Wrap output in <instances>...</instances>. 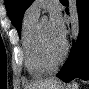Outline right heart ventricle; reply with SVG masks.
I'll use <instances>...</instances> for the list:
<instances>
[{"mask_svg": "<svg viewBox=\"0 0 89 89\" xmlns=\"http://www.w3.org/2000/svg\"><path fill=\"white\" fill-rule=\"evenodd\" d=\"M38 23V16L25 13L22 23L24 62L29 74L35 77L44 76L53 71L41 62L36 53L34 39Z\"/></svg>", "mask_w": 89, "mask_h": 89, "instance_id": "1", "label": "right heart ventricle"}]
</instances>
